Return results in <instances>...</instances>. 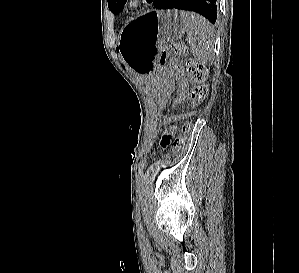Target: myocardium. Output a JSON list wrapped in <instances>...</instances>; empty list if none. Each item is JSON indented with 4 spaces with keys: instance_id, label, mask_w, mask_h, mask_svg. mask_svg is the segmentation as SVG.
I'll list each match as a JSON object with an SVG mask.
<instances>
[{
    "instance_id": "myocardium-1",
    "label": "myocardium",
    "mask_w": 299,
    "mask_h": 273,
    "mask_svg": "<svg viewBox=\"0 0 299 273\" xmlns=\"http://www.w3.org/2000/svg\"><path fill=\"white\" fill-rule=\"evenodd\" d=\"M146 3V0H127V8L129 10H137Z\"/></svg>"
}]
</instances>
